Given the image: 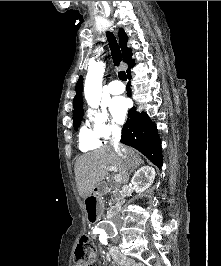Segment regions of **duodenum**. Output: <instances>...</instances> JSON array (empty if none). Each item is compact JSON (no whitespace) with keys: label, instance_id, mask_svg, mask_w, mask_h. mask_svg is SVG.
<instances>
[{"label":"duodenum","instance_id":"duodenum-1","mask_svg":"<svg viewBox=\"0 0 221 266\" xmlns=\"http://www.w3.org/2000/svg\"><path fill=\"white\" fill-rule=\"evenodd\" d=\"M102 194L103 191L100 187H95L94 189H89V194H87V210L86 219L88 223H99L101 219V213H103L102 208ZM114 216L113 211L109 210L107 212V218L112 219Z\"/></svg>","mask_w":221,"mask_h":266}]
</instances>
